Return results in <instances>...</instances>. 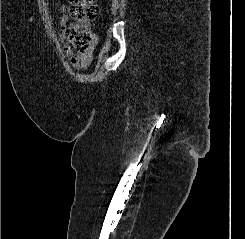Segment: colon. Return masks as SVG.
Listing matches in <instances>:
<instances>
[{
  "label": "colon",
  "instance_id": "colon-1",
  "mask_svg": "<svg viewBox=\"0 0 245 239\" xmlns=\"http://www.w3.org/2000/svg\"><path fill=\"white\" fill-rule=\"evenodd\" d=\"M69 14L74 21L69 24L64 37L77 56L91 55L97 44L96 34L90 28V22L99 14L95 0H69Z\"/></svg>",
  "mask_w": 245,
  "mask_h": 239
}]
</instances>
